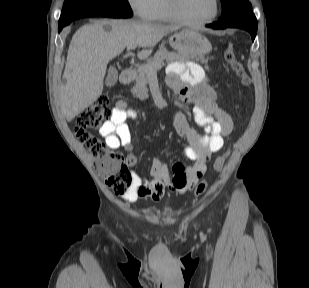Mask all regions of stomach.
Listing matches in <instances>:
<instances>
[{"mask_svg":"<svg viewBox=\"0 0 309 288\" xmlns=\"http://www.w3.org/2000/svg\"><path fill=\"white\" fill-rule=\"evenodd\" d=\"M171 47L188 57H202L211 51V43L201 33L183 29L169 38Z\"/></svg>","mask_w":309,"mask_h":288,"instance_id":"stomach-1","label":"stomach"}]
</instances>
